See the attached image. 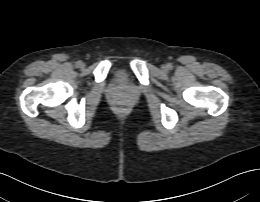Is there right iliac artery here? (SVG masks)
I'll use <instances>...</instances> for the list:
<instances>
[{"instance_id": "82829eb1", "label": "right iliac artery", "mask_w": 260, "mask_h": 202, "mask_svg": "<svg viewBox=\"0 0 260 202\" xmlns=\"http://www.w3.org/2000/svg\"><path fill=\"white\" fill-rule=\"evenodd\" d=\"M81 61L76 62V67H80Z\"/></svg>"}]
</instances>
